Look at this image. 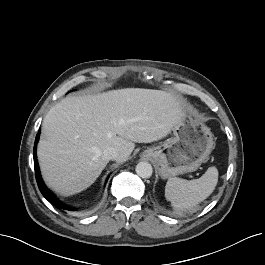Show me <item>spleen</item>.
Instances as JSON below:
<instances>
[{
	"label": "spleen",
	"mask_w": 265,
	"mask_h": 265,
	"mask_svg": "<svg viewBox=\"0 0 265 265\" xmlns=\"http://www.w3.org/2000/svg\"><path fill=\"white\" fill-rule=\"evenodd\" d=\"M218 182V170L209 167L198 179L186 180L170 177L165 186V197L175 208H192L214 191Z\"/></svg>",
	"instance_id": "obj_1"
}]
</instances>
